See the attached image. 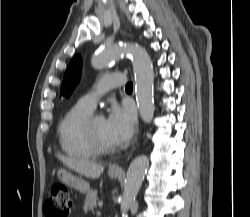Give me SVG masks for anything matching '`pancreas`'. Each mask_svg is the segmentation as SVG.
<instances>
[{
  "label": "pancreas",
  "mask_w": 250,
  "mask_h": 217,
  "mask_svg": "<svg viewBox=\"0 0 250 217\" xmlns=\"http://www.w3.org/2000/svg\"><path fill=\"white\" fill-rule=\"evenodd\" d=\"M97 191L96 190H90L85 199V204H84V211H93L94 207H96V202H97Z\"/></svg>",
  "instance_id": "pancreas-1"
}]
</instances>
